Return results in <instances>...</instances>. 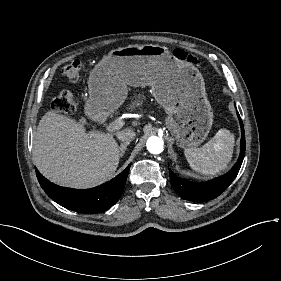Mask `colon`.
<instances>
[{
  "label": "colon",
  "instance_id": "1",
  "mask_svg": "<svg viewBox=\"0 0 281 281\" xmlns=\"http://www.w3.org/2000/svg\"><path fill=\"white\" fill-rule=\"evenodd\" d=\"M176 57L182 61H189L191 63H197L198 58L196 56L188 54L182 49L176 51ZM82 74V62L79 60L71 61L66 64L62 70V75L68 81H77ZM53 111L55 113L72 114L76 110V101L74 95L70 91L60 92L52 103Z\"/></svg>",
  "mask_w": 281,
  "mask_h": 281
}]
</instances>
